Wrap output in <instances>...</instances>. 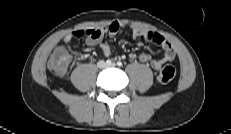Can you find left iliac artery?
<instances>
[{
  "label": "left iliac artery",
  "mask_w": 231,
  "mask_h": 134,
  "mask_svg": "<svg viewBox=\"0 0 231 134\" xmlns=\"http://www.w3.org/2000/svg\"><path fill=\"white\" fill-rule=\"evenodd\" d=\"M117 65H118V66H122V62H121V61H118V62H117Z\"/></svg>",
  "instance_id": "1"
}]
</instances>
